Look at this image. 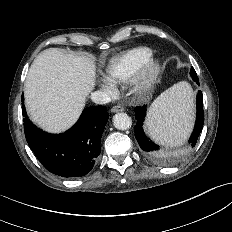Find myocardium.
<instances>
[{
  "mask_svg": "<svg viewBox=\"0 0 232 232\" xmlns=\"http://www.w3.org/2000/svg\"><path fill=\"white\" fill-rule=\"evenodd\" d=\"M160 70V61L152 56L131 78L134 90L143 93L151 89L158 79Z\"/></svg>",
  "mask_w": 232,
  "mask_h": 232,
  "instance_id": "f54148a6",
  "label": "myocardium"
}]
</instances>
